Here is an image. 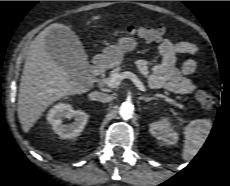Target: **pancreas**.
Here are the masks:
<instances>
[{
	"label": "pancreas",
	"mask_w": 230,
	"mask_h": 186,
	"mask_svg": "<svg viewBox=\"0 0 230 186\" xmlns=\"http://www.w3.org/2000/svg\"><path fill=\"white\" fill-rule=\"evenodd\" d=\"M121 73V67H116L115 69H113L111 72H110V77L109 78H105V79H102V84H106L108 79H110L113 75L115 74H120ZM156 96L158 98H162L164 99L167 103L173 105V106H176V107H179V108H184V106L182 104H179L177 103L174 99L172 98H169L168 96L166 95H163V94H156ZM157 99V98H156Z\"/></svg>",
	"instance_id": "cf45deb5"
}]
</instances>
